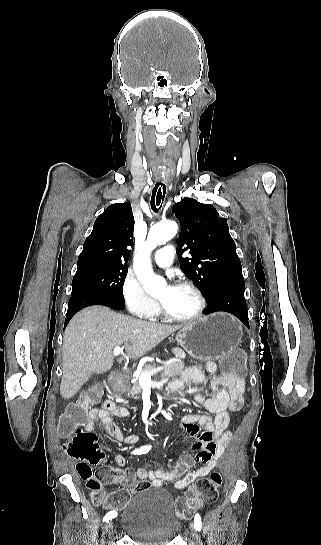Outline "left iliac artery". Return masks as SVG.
Returning a JSON list of instances; mask_svg holds the SVG:
<instances>
[{
    "mask_svg": "<svg viewBox=\"0 0 321 545\" xmlns=\"http://www.w3.org/2000/svg\"><path fill=\"white\" fill-rule=\"evenodd\" d=\"M201 525H202L201 517H200L199 514H196L195 518H194V526H195L196 530L200 531L201 530Z\"/></svg>",
    "mask_w": 321,
    "mask_h": 545,
    "instance_id": "obj_1",
    "label": "left iliac artery"
}]
</instances>
